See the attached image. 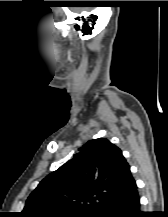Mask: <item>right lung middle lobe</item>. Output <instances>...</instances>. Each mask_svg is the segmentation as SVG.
Instances as JSON below:
<instances>
[{
	"label": "right lung middle lobe",
	"mask_w": 168,
	"mask_h": 217,
	"mask_svg": "<svg viewBox=\"0 0 168 217\" xmlns=\"http://www.w3.org/2000/svg\"><path fill=\"white\" fill-rule=\"evenodd\" d=\"M57 217H90V215H71V216L70 215L69 216L68 215L67 216L61 215V216H57Z\"/></svg>",
	"instance_id": "right-lung-middle-lobe-1"
}]
</instances>
